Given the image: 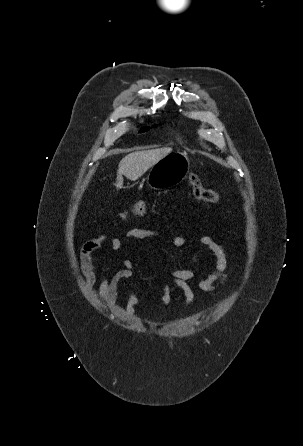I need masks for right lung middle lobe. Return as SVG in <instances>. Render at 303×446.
Returning a JSON list of instances; mask_svg holds the SVG:
<instances>
[{
  "label": "right lung middle lobe",
  "mask_w": 303,
  "mask_h": 446,
  "mask_svg": "<svg viewBox=\"0 0 303 446\" xmlns=\"http://www.w3.org/2000/svg\"><path fill=\"white\" fill-rule=\"evenodd\" d=\"M149 128H144L143 130H141V132L147 131Z\"/></svg>",
  "instance_id": "dd1d6c3e"
}]
</instances>
